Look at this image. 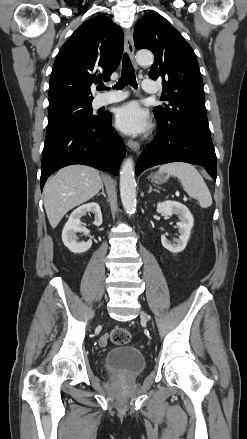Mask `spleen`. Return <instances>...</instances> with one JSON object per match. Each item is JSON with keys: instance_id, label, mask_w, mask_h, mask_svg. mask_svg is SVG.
<instances>
[{"instance_id": "obj_1", "label": "spleen", "mask_w": 247, "mask_h": 439, "mask_svg": "<svg viewBox=\"0 0 247 439\" xmlns=\"http://www.w3.org/2000/svg\"><path fill=\"white\" fill-rule=\"evenodd\" d=\"M158 172L177 177L185 192L190 197L198 200L202 208H208L212 205L209 189L203 177L193 165L184 162H172L160 166Z\"/></svg>"}]
</instances>
